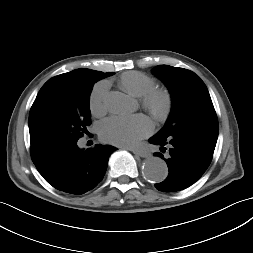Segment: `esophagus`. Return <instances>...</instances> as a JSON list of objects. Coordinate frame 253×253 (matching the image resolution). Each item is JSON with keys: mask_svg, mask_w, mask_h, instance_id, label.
<instances>
[{"mask_svg": "<svg viewBox=\"0 0 253 253\" xmlns=\"http://www.w3.org/2000/svg\"><path fill=\"white\" fill-rule=\"evenodd\" d=\"M135 155L140 156V157H147L149 155V153L147 151H143V150H138V149H132L131 150Z\"/></svg>", "mask_w": 253, "mask_h": 253, "instance_id": "34e87169", "label": "esophagus"}]
</instances>
